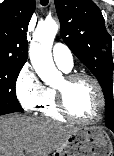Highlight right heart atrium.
<instances>
[{"label":"right heart atrium","instance_id":"obj_1","mask_svg":"<svg viewBox=\"0 0 114 156\" xmlns=\"http://www.w3.org/2000/svg\"><path fill=\"white\" fill-rule=\"evenodd\" d=\"M15 94L21 106L27 111L37 110L46 98V87L28 64L21 68L16 77Z\"/></svg>","mask_w":114,"mask_h":156}]
</instances>
